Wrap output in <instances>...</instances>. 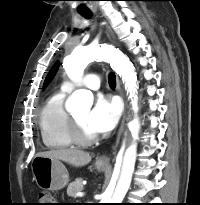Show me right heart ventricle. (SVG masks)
<instances>
[{"label":"right heart ventricle","instance_id":"1","mask_svg":"<svg viewBox=\"0 0 200 205\" xmlns=\"http://www.w3.org/2000/svg\"><path fill=\"white\" fill-rule=\"evenodd\" d=\"M66 92L51 95L39 113V128L43 144L49 149H65L73 145L69 135L68 118L63 102Z\"/></svg>","mask_w":200,"mask_h":205}]
</instances>
